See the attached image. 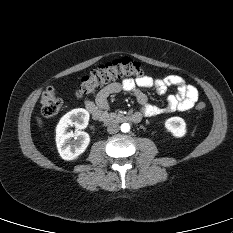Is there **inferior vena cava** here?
<instances>
[{
	"label": "inferior vena cava",
	"instance_id": "1",
	"mask_svg": "<svg viewBox=\"0 0 233 233\" xmlns=\"http://www.w3.org/2000/svg\"><path fill=\"white\" fill-rule=\"evenodd\" d=\"M120 129V126L119 124L117 123H110L107 127V131L110 133V134H114V133H117Z\"/></svg>",
	"mask_w": 233,
	"mask_h": 233
}]
</instances>
